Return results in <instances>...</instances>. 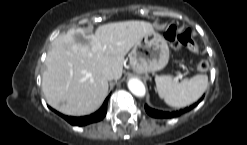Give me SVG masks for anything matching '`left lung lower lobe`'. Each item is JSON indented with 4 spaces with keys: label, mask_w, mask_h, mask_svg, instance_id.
I'll use <instances>...</instances> for the list:
<instances>
[{
    "label": "left lung lower lobe",
    "mask_w": 247,
    "mask_h": 145,
    "mask_svg": "<svg viewBox=\"0 0 247 145\" xmlns=\"http://www.w3.org/2000/svg\"><path fill=\"white\" fill-rule=\"evenodd\" d=\"M203 97H204V96H203ZM203 97H202L200 100H198L196 103H194L192 106L187 107V108L185 109V111H189V110H191L193 107H195V106L203 99ZM145 110H146V112H147L150 116H152V117H157V118H171V117L178 116V115L181 113V111H180V112H172V113H169V112H162V111H158V110L152 109V108H150V107L147 106V105H145Z\"/></svg>",
    "instance_id": "obj_1"
}]
</instances>
